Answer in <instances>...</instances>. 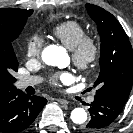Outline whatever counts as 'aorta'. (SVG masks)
I'll return each mask as SVG.
<instances>
[{"label":"aorta","mask_w":133,"mask_h":133,"mask_svg":"<svg viewBox=\"0 0 133 133\" xmlns=\"http://www.w3.org/2000/svg\"><path fill=\"white\" fill-rule=\"evenodd\" d=\"M68 59L65 49L58 45H50L42 52V60L47 65L63 68L67 66ZM70 118L75 124H84L87 121V112L83 108H75L72 110Z\"/></svg>","instance_id":"obj_1"}]
</instances>
